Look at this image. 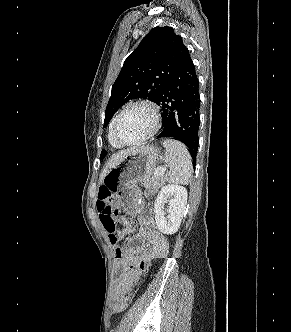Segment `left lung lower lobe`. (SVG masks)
Returning <instances> with one entry per match:
<instances>
[{
  "instance_id": "left-lung-lower-lobe-1",
  "label": "left lung lower lobe",
  "mask_w": 291,
  "mask_h": 332,
  "mask_svg": "<svg viewBox=\"0 0 291 332\" xmlns=\"http://www.w3.org/2000/svg\"><path fill=\"white\" fill-rule=\"evenodd\" d=\"M157 104L162 108L163 123V131L157 137H173L184 143L195 163L200 125L199 81L187 48Z\"/></svg>"
}]
</instances>
